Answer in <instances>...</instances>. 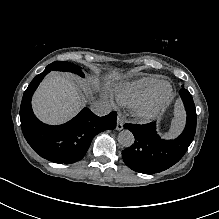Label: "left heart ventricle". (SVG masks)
Segmentation results:
<instances>
[{"mask_svg": "<svg viewBox=\"0 0 219 219\" xmlns=\"http://www.w3.org/2000/svg\"><path fill=\"white\" fill-rule=\"evenodd\" d=\"M161 90H165V87H162Z\"/></svg>", "mask_w": 219, "mask_h": 219, "instance_id": "b2bd125f", "label": "left heart ventricle"}]
</instances>
